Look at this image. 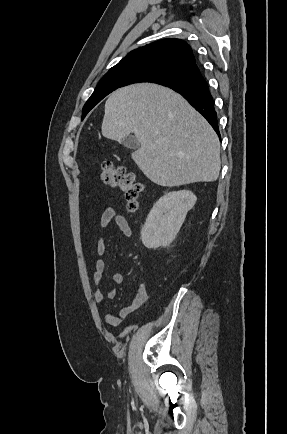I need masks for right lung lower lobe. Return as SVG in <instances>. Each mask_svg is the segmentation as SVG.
I'll return each instance as SVG.
<instances>
[{
    "mask_svg": "<svg viewBox=\"0 0 287 434\" xmlns=\"http://www.w3.org/2000/svg\"><path fill=\"white\" fill-rule=\"evenodd\" d=\"M167 87L181 94L204 118L210 123L220 136L217 113L214 108V100L208 84L198 67L187 72L177 82Z\"/></svg>",
    "mask_w": 287,
    "mask_h": 434,
    "instance_id": "obj_1",
    "label": "right lung lower lobe"
}]
</instances>
